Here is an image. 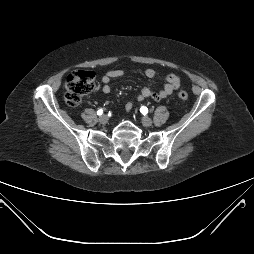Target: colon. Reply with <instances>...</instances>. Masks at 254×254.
Returning a JSON list of instances; mask_svg holds the SVG:
<instances>
[{
  "label": "colon",
  "instance_id": "5ec220e1",
  "mask_svg": "<svg viewBox=\"0 0 254 254\" xmlns=\"http://www.w3.org/2000/svg\"><path fill=\"white\" fill-rule=\"evenodd\" d=\"M95 88V74L91 71L77 70L69 74L65 83V101L71 106L79 105L82 98ZM180 101H186L188 94L185 91L178 93Z\"/></svg>",
  "mask_w": 254,
  "mask_h": 254
}]
</instances>
